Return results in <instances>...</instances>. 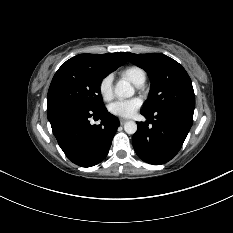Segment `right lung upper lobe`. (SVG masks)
Returning <instances> with one entry per match:
<instances>
[{"mask_svg":"<svg viewBox=\"0 0 233 233\" xmlns=\"http://www.w3.org/2000/svg\"><path fill=\"white\" fill-rule=\"evenodd\" d=\"M70 60H81L91 64L99 65L108 68L112 71L119 66L125 64L124 53H109V54H80L72 57Z\"/></svg>","mask_w":233,"mask_h":233,"instance_id":"right-lung-upper-lobe-1","label":"right lung upper lobe"}]
</instances>
